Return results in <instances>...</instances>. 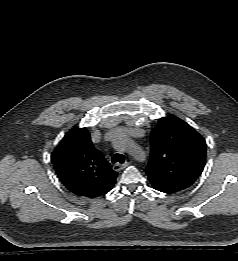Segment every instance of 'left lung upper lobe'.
Segmentation results:
<instances>
[{
	"label": "left lung upper lobe",
	"instance_id": "1",
	"mask_svg": "<svg viewBox=\"0 0 238 261\" xmlns=\"http://www.w3.org/2000/svg\"><path fill=\"white\" fill-rule=\"evenodd\" d=\"M151 154L145 169L152 186L174 193L192 185L205 165L204 138L185 121L169 115L151 132Z\"/></svg>",
	"mask_w": 238,
	"mask_h": 261
}]
</instances>
